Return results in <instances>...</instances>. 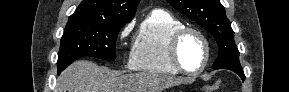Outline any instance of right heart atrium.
<instances>
[{
  "mask_svg": "<svg viewBox=\"0 0 289 92\" xmlns=\"http://www.w3.org/2000/svg\"><path fill=\"white\" fill-rule=\"evenodd\" d=\"M132 27H133L132 23L127 24L120 32V39L122 40L125 39L130 34Z\"/></svg>",
  "mask_w": 289,
  "mask_h": 92,
  "instance_id": "d8ad5b80",
  "label": "right heart atrium"
}]
</instances>
